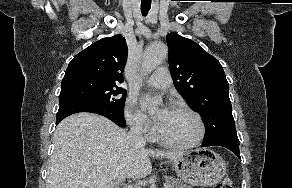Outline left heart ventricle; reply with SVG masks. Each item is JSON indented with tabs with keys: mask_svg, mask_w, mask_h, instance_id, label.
Returning <instances> with one entry per match:
<instances>
[{
	"mask_svg": "<svg viewBox=\"0 0 292 188\" xmlns=\"http://www.w3.org/2000/svg\"><path fill=\"white\" fill-rule=\"evenodd\" d=\"M157 127L164 138L175 143L192 141L198 134L196 119L186 112L173 109L168 110Z\"/></svg>",
	"mask_w": 292,
	"mask_h": 188,
	"instance_id": "obj_1",
	"label": "left heart ventricle"
}]
</instances>
